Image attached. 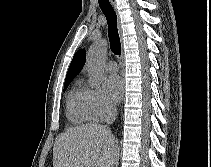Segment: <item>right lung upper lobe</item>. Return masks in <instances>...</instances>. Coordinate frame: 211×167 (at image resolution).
<instances>
[{
    "instance_id": "obj_1",
    "label": "right lung upper lobe",
    "mask_w": 211,
    "mask_h": 167,
    "mask_svg": "<svg viewBox=\"0 0 211 167\" xmlns=\"http://www.w3.org/2000/svg\"><path fill=\"white\" fill-rule=\"evenodd\" d=\"M85 63V51L83 49L77 51L69 66L65 82L71 81L73 77L82 70Z\"/></svg>"
}]
</instances>
